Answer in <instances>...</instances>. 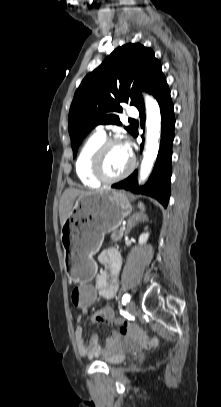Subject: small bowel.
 Segmentation results:
<instances>
[{"instance_id":"c3829d8e","label":"small bowel","mask_w":221,"mask_h":407,"mask_svg":"<svg viewBox=\"0 0 221 407\" xmlns=\"http://www.w3.org/2000/svg\"><path fill=\"white\" fill-rule=\"evenodd\" d=\"M99 263L104 267L101 270L97 277H96V284H95V291L97 292V296H101L106 300L113 299L118 291L119 287V272L121 268V256L117 249L111 247L108 249L103 250L99 255ZM89 283V282H83ZM73 293V292H72ZM105 305H110V303H106ZM103 307L101 308L99 305H94L92 307V312L94 313L91 322L93 325H100L102 323L103 316ZM82 314H86L87 311H81ZM100 315V316H96ZM82 317L79 316L77 318V322L80 323ZM114 321V320H113ZM112 321V322H113ZM110 322V323H112ZM122 334V333H121ZM120 333L113 332L112 337L109 338L106 343L104 349L100 347L98 344L97 335H93L89 342L87 343L83 337V327L78 324L74 330V336L76 341L77 350L80 355L92 357L97 356L101 353L107 354L117 349L116 341L119 337Z\"/></svg>"}]
</instances>
